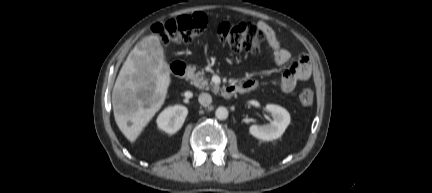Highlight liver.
<instances>
[{"label":"liver","mask_w":432,"mask_h":193,"mask_svg":"<svg viewBox=\"0 0 432 193\" xmlns=\"http://www.w3.org/2000/svg\"><path fill=\"white\" fill-rule=\"evenodd\" d=\"M170 83V68L159 38H143L129 53L112 93L116 124L131 142L163 105Z\"/></svg>","instance_id":"liver-1"}]
</instances>
